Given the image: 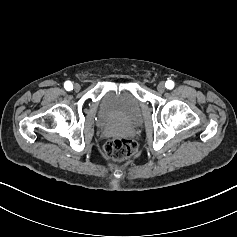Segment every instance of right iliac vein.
Returning a JSON list of instances; mask_svg holds the SVG:
<instances>
[{"mask_svg": "<svg viewBox=\"0 0 237 237\" xmlns=\"http://www.w3.org/2000/svg\"><path fill=\"white\" fill-rule=\"evenodd\" d=\"M74 90H75L76 92H79V91H80V85L77 84V83H75V84H74Z\"/></svg>", "mask_w": 237, "mask_h": 237, "instance_id": "obj_1", "label": "right iliac vein"}]
</instances>
